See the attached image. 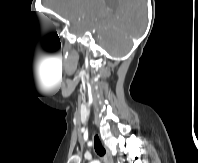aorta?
<instances>
[{
	"label": "aorta",
	"instance_id": "1",
	"mask_svg": "<svg viewBox=\"0 0 198 163\" xmlns=\"http://www.w3.org/2000/svg\"><path fill=\"white\" fill-rule=\"evenodd\" d=\"M90 163H100L98 160L91 161Z\"/></svg>",
	"mask_w": 198,
	"mask_h": 163
}]
</instances>
